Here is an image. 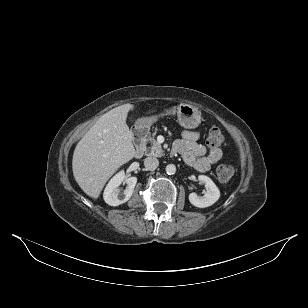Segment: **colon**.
Segmentation results:
<instances>
[{"mask_svg":"<svg viewBox=\"0 0 308 308\" xmlns=\"http://www.w3.org/2000/svg\"><path fill=\"white\" fill-rule=\"evenodd\" d=\"M224 137L222 132L218 128H212L208 132L206 143L207 146L212 150L218 148L223 143ZM217 178L220 182L226 183L230 181L234 174L235 169L229 163H222L217 168Z\"/></svg>","mask_w":308,"mask_h":308,"instance_id":"1","label":"colon"}]
</instances>
